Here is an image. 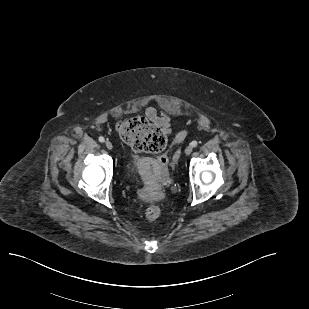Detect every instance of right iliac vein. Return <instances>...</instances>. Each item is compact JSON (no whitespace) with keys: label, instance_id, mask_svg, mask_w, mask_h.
<instances>
[{"label":"right iliac vein","instance_id":"right-iliac-vein-1","mask_svg":"<svg viewBox=\"0 0 309 309\" xmlns=\"http://www.w3.org/2000/svg\"><path fill=\"white\" fill-rule=\"evenodd\" d=\"M105 146H106V148L109 149V150H111V149L113 148V145H112V143H111L110 141H106V142H105Z\"/></svg>","mask_w":309,"mask_h":309}]
</instances>
